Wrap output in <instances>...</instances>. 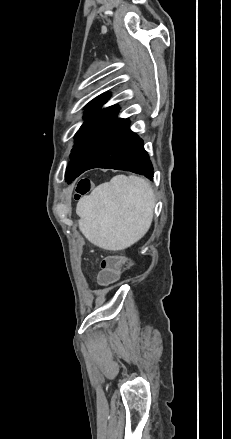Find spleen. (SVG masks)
Masks as SVG:
<instances>
[{
  "label": "spleen",
  "instance_id": "spleen-1",
  "mask_svg": "<svg viewBox=\"0 0 231 439\" xmlns=\"http://www.w3.org/2000/svg\"><path fill=\"white\" fill-rule=\"evenodd\" d=\"M154 206L155 195L146 180L117 175L78 202L79 229L101 248L123 250L149 230Z\"/></svg>",
  "mask_w": 231,
  "mask_h": 439
}]
</instances>
